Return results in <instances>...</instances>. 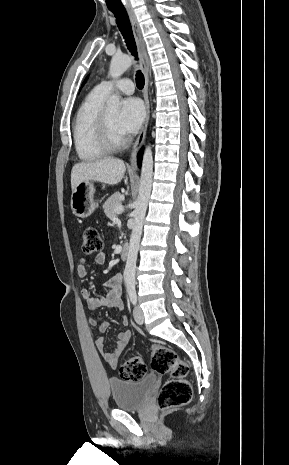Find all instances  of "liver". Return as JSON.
I'll return each instance as SVG.
<instances>
[{
	"instance_id": "liver-1",
	"label": "liver",
	"mask_w": 289,
	"mask_h": 465,
	"mask_svg": "<svg viewBox=\"0 0 289 465\" xmlns=\"http://www.w3.org/2000/svg\"><path fill=\"white\" fill-rule=\"evenodd\" d=\"M125 170L124 162L115 158L75 164L71 171L72 191L82 181H97L108 185H116L124 177Z\"/></svg>"
}]
</instances>
